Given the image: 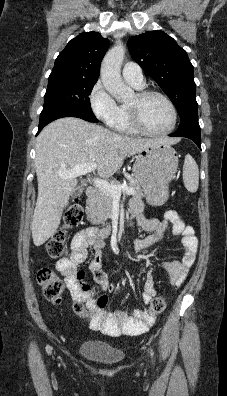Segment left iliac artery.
I'll list each match as a JSON object with an SVG mask.
<instances>
[{"label": "left iliac artery", "instance_id": "left-iliac-artery-1", "mask_svg": "<svg viewBox=\"0 0 227 396\" xmlns=\"http://www.w3.org/2000/svg\"><path fill=\"white\" fill-rule=\"evenodd\" d=\"M151 356H153V352H152V350H151Z\"/></svg>", "mask_w": 227, "mask_h": 396}]
</instances>
